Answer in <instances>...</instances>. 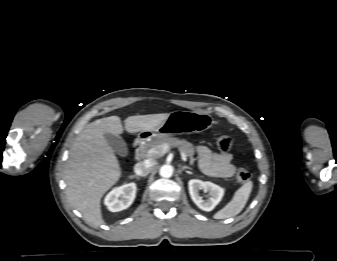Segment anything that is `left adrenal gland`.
<instances>
[{"label": "left adrenal gland", "instance_id": "obj_1", "mask_svg": "<svg viewBox=\"0 0 337 261\" xmlns=\"http://www.w3.org/2000/svg\"><path fill=\"white\" fill-rule=\"evenodd\" d=\"M185 169H190V170H191L192 168H191V167H188V166H182V167H181V170H185Z\"/></svg>", "mask_w": 337, "mask_h": 261}]
</instances>
